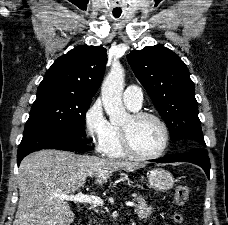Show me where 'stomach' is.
I'll return each instance as SVG.
<instances>
[{
	"mask_svg": "<svg viewBox=\"0 0 228 225\" xmlns=\"http://www.w3.org/2000/svg\"><path fill=\"white\" fill-rule=\"evenodd\" d=\"M148 183L149 187L154 189V191L166 193V191L172 189L175 181L169 171H164V169H152L148 175Z\"/></svg>",
	"mask_w": 228,
	"mask_h": 225,
	"instance_id": "1",
	"label": "stomach"
}]
</instances>
